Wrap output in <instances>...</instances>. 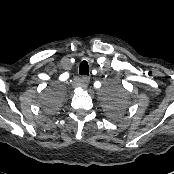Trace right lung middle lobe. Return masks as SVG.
Here are the masks:
<instances>
[{
	"label": "right lung middle lobe",
	"instance_id": "right-lung-middle-lobe-1",
	"mask_svg": "<svg viewBox=\"0 0 174 174\" xmlns=\"http://www.w3.org/2000/svg\"><path fill=\"white\" fill-rule=\"evenodd\" d=\"M61 100L62 97L59 94H48L41 105L46 111L52 112L59 108Z\"/></svg>",
	"mask_w": 174,
	"mask_h": 174
}]
</instances>
